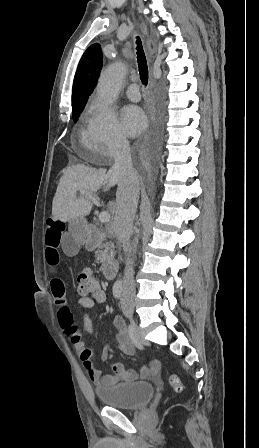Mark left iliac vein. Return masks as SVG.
Instances as JSON below:
<instances>
[{
	"mask_svg": "<svg viewBox=\"0 0 259 448\" xmlns=\"http://www.w3.org/2000/svg\"><path fill=\"white\" fill-rule=\"evenodd\" d=\"M121 307L124 315L127 318H131L133 315V305H131L129 302H127L124 298L121 301Z\"/></svg>",
	"mask_w": 259,
	"mask_h": 448,
	"instance_id": "left-iliac-vein-1",
	"label": "left iliac vein"
}]
</instances>
